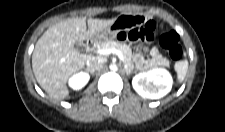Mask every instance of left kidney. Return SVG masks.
<instances>
[{"label":"left kidney","instance_id":"5707ae66","mask_svg":"<svg viewBox=\"0 0 225 132\" xmlns=\"http://www.w3.org/2000/svg\"><path fill=\"white\" fill-rule=\"evenodd\" d=\"M171 74L163 68L153 69L135 75L132 79L134 90L143 98L159 99L172 88Z\"/></svg>","mask_w":225,"mask_h":132}]
</instances>
